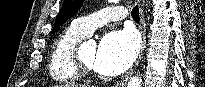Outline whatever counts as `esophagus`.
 Segmentation results:
<instances>
[{"label":"esophagus","mask_w":205,"mask_h":87,"mask_svg":"<svg viewBox=\"0 0 205 87\" xmlns=\"http://www.w3.org/2000/svg\"><path fill=\"white\" fill-rule=\"evenodd\" d=\"M138 6H139V14H140V24H139V28L141 31V35H142V46L139 52V55L134 63V65L131 67V69L127 72V74L121 78L120 81H118L115 85V87H124L128 81V79L130 78V76L133 74L135 68L138 66L144 50H145V46H146V22H145V15H144V10L142 7V4L140 1H138Z\"/></svg>","instance_id":"34e87169"}]
</instances>
